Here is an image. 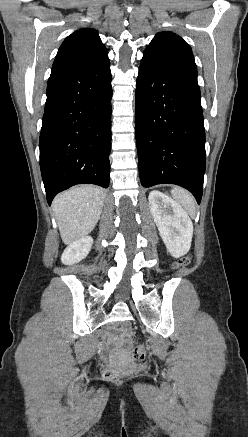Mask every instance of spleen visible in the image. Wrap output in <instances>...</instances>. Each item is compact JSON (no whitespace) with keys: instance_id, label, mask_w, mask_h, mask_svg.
Masks as SVG:
<instances>
[{"instance_id":"spleen-1","label":"spleen","mask_w":248,"mask_h":437,"mask_svg":"<svg viewBox=\"0 0 248 437\" xmlns=\"http://www.w3.org/2000/svg\"><path fill=\"white\" fill-rule=\"evenodd\" d=\"M171 194L175 201L180 204L191 217L195 216V199L187 190L179 187H174L171 190Z\"/></svg>"}]
</instances>
